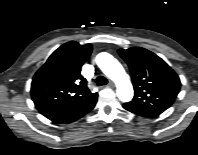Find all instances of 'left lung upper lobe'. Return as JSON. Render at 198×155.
Returning <instances> with one entry per match:
<instances>
[{"instance_id":"1","label":"left lung upper lobe","mask_w":198,"mask_h":155,"mask_svg":"<svg viewBox=\"0 0 198 155\" xmlns=\"http://www.w3.org/2000/svg\"><path fill=\"white\" fill-rule=\"evenodd\" d=\"M132 75L133 100L124 105L143 112L161 114L169 108L180 91L178 75L156 54L141 48L119 49Z\"/></svg>"}]
</instances>
